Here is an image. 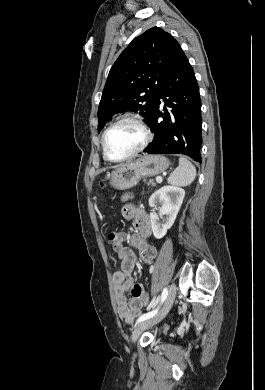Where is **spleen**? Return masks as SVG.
<instances>
[{
  "label": "spleen",
  "mask_w": 265,
  "mask_h": 390,
  "mask_svg": "<svg viewBox=\"0 0 265 390\" xmlns=\"http://www.w3.org/2000/svg\"><path fill=\"white\" fill-rule=\"evenodd\" d=\"M196 178L195 166L184 157L179 158V166L170 174L167 181L176 186H188Z\"/></svg>",
  "instance_id": "1"
}]
</instances>
